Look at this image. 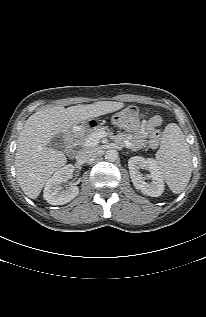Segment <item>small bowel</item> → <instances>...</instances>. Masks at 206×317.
<instances>
[{
	"label": "small bowel",
	"instance_id": "1",
	"mask_svg": "<svg viewBox=\"0 0 206 317\" xmlns=\"http://www.w3.org/2000/svg\"><path fill=\"white\" fill-rule=\"evenodd\" d=\"M162 122L160 116L144 118L134 133L122 136V139L129 147L142 148L148 144L150 147L156 148L160 140Z\"/></svg>",
	"mask_w": 206,
	"mask_h": 317
}]
</instances>
